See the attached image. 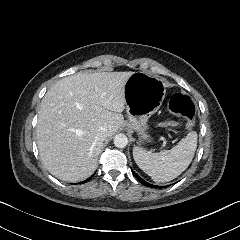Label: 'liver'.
<instances>
[{"label": "liver", "instance_id": "liver-1", "mask_svg": "<svg viewBox=\"0 0 240 240\" xmlns=\"http://www.w3.org/2000/svg\"><path fill=\"white\" fill-rule=\"evenodd\" d=\"M133 73L78 72L47 91L36 132L40 158L52 175L79 182L93 174L103 147L96 132L103 127L111 137L123 126L125 85Z\"/></svg>", "mask_w": 240, "mask_h": 240}]
</instances>
